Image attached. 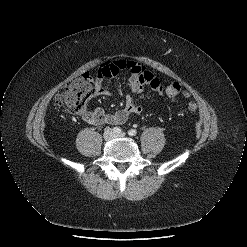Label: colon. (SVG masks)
I'll list each match as a JSON object with an SVG mask.
<instances>
[{
  "instance_id": "1",
  "label": "colon",
  "mask_w": 247,
  "mask_h": 247,
  "mask_svg": "<svg viewBox=\"0 0 247 247\" xmlns=\"http://www.w3.org/2000/svg\"><path fill=\"white\" fill-rule=\"evenodd\" d=\"M95 93V85L88 73L74 78L56 95L55 105L64 108L72 114H82L89 99ZM165 94L175 102L179 96L189 98V93L178 83H171L165 88ZM189 109L196 110V104L189 102Z\"/></svg>"
}]
</instances>
